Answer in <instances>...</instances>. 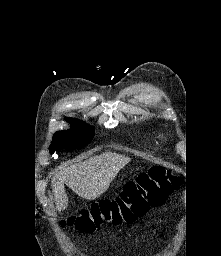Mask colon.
Returning <instances> with one entry per match:
<instances>
[{
    "mask_svg": "<svg viewBox=\"0 0 221 256\" xmlns=\"http://www.w3.org/2000/svg\"><path fill=\"white\" fill-rule=\"evenodd\" d=\"M179 186L180 178L161 166H153L125 184L116 197L93 203L67 218L63 225L90 233L104 223L133 222L144 216L150 207L162 205Z\"/></svg>",
    "mask_w": 221,
    "mask_h": 256,
    "instance_id": "obj_1",
    "label": "colon"
}]
</instances>
